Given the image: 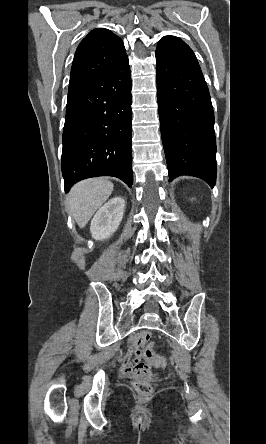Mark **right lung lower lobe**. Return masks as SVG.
I'll list each match as a JSON object with an SVG mask.
<instances>
[{"mask_svg":"<svg viewBox=\"0 0 266 444\" xmlns=\"http://www.w3.org/2000/svg\"><path fill=\"white\" fill-rule=\"evenodd\" d=\"M132 95L128 57L67 100L62 173L65 191L95 176H114L129 187L132 173Z\"/></svg>","mask_w":266,"mask_h":444,"instance_id":"obj_1","label":"right lung lower lobe"}]
</instances>
